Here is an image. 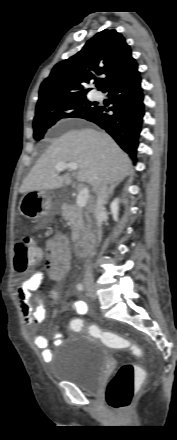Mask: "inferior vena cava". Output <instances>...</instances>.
<instances>
[{
	"label": "inferior vena cava",
	"mask_w": 177,
	"mask_h": 440,
	"mask_svg": "<svg viewBox=\"0 0 177 440\" xmlns=\"http://www.w3.org/2000/svg\"><path fill=\"white\" fill-rule=\"evenodd\" d=\"M107 193H108V187L106 181H101L96 189V203L94 205V214L97 216L104 210V205L107 202ZM92 266L86 265V271H85V279L92 280Z\"/></svg>",
	"instance_id": "1"
}]
</instances>
